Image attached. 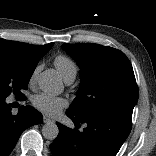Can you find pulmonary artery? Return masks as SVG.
<instances>
[{"label":"pulmonary artery","instance_id":"1","mask_svg":"<svg viewBox=\"0 0 156 156\" xmlns=\"http://www.w3.org/2000/svg\"><path fill=\"white\" fill-rule=\"evenodd\" d=\"M73 81H74V78H73V77L68 78L67 80H65V82H66L67 84H71Z\"/></svg>","mask_w":156,"mask_h":156}]
</instances>
